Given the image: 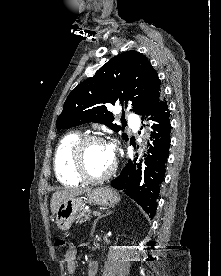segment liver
Here are the masks:
<instances>
[{
  "instance_id": "obj_1",
  "label": "liver",
  "mask_w": 221,
  "mask_h": 276,
  "mask_svg": "<svg viewBox=\"0 0 221 276\" xmlns=\"http://www.w3.org/2000/svg\"><path fill=\"white\" fill-rule=\"evenodd\" d=\"M89 191H90V189H87V188L63 189L60 191H56L52 195V199H51V203H50V208H51L52 214L54 215L57 212L58 206L65 199L70 198V197L79 196V195H82Z\"/></svg>"
}]
</instances>
